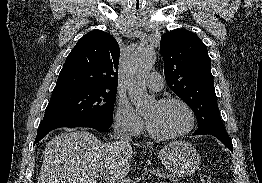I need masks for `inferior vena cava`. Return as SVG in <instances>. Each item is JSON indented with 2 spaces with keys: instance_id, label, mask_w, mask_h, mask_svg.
Instances as JSON below:
<instances>
[{
  "instance_id": "1",
  "label": "inferior vena cava",
  "mask_w": 262,
  "mask_h": 183,
  "mask_svg": "<svg viewBox=\"0 0 262 183\" xmlns=\"http://www.w3.org/2000/svg\"><path fill=\"white\" fill-rule=\"evenodd\" d=\"M114 138L120 141H131V136L128 133V126L124 122H117L114 126Z\"/></svg>"
}]
</instances>
